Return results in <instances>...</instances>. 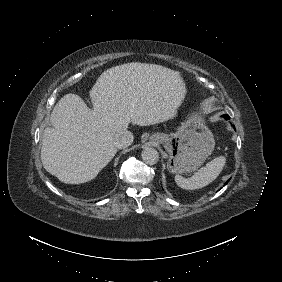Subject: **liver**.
<instances>
[{"label": "liver", "instance_id": "obj_1", "mask_svg": "<svg viewBox=\"0 0 282 282\" xmlns=\"http://www.w3.org/2000/svg\"><path fill=\"white\" fill-rule=\"evenodd\" d=\"M187 89L178 71L132 62L104 71L89 91L94 109L75 94L53 108L44 130L41 161L61 182L94 179L117 153L113 138L130 123L153 125L173 119Z\"/></svg>", "mask_w": 282, "mask_h": 282}]
</instances>
